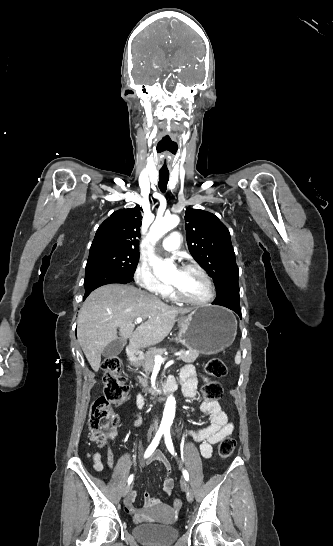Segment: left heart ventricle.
Returning a JSON list of instances; mask_svg holds the SVG:
<instances>
[{
    "label": "left heart ventricle",
    "mask_w": 333,
    "mask_h": 546,
    "mask_svg": "<svg viewBox=\"0 0 333 546\" xmlns=\"http://www.w3.org/2000/svg\"><path fill=\"white\" fill-rule=\"evenodd\" d=\"M173 284L184 296L193 300H202L209 295V288L204 278L194 270H182L174 273Z\"/></svg>",
    "instance_id": "b2bd125f"
}]
</instances>
